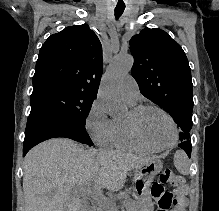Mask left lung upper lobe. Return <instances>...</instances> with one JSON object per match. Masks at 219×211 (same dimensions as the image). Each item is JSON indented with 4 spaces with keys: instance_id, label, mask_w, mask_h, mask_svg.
I'll list each match as a JSON object with an SVG mask.
<instances>
[{
    "instance_id": "5c2ea615",
    "label": "left lung upper lobe",
    "mask_w": 219,
    "mask_h": 211,
    "mask_svg": "<svg viewBox=\"0 0 219 211\" xmlns=\"http://www.w3.org/2000/svg\"><path fill=\"white\" fill-rule=\"evenodd\" d=\"M132 76L140 92L166 110L181 128L180 140L190 139L193 84L181 46L159 28H145L130 39Z\"/></svg>"
}]
</instances>
